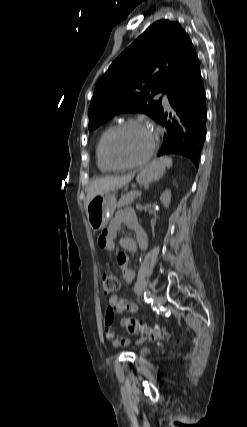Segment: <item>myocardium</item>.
Wrapping results in <instances>:
<instances>
[{
    "label": "myocardium",
    "mask_w": 247,
    "mask_h": 427,
    "mask_svg": "<svg viewBox=\"0 0 247 427\" xmlns=\"http://www.w3.org/2000/svg\"><path fill=\"white\" fill-rule=\"evenodd\" d=\"M128 127H141V128L148 129L149 131H151V133L153 135V141H152V144L150 146V149L141 159L134 161V162H130V163H120V162L116 161L112 155L111 144H112V141L115 138V136L119 132H121L122 130H124ZM158 143H159V133L155 128L151 127L150 125H148L142 121L132 119V120H127V121H124L122 123H119L112 128V130L108 133L107 137L105 138L104 145H103V153H104V157H105V160L107 161V163L112 168H114L115 170L128 169V168H133V167L143 165L146 162H148L151 159V157L153 156V154H154V152L158 146Z\"/></svg>",
    "instance_id": "1"
}]
</instances>
